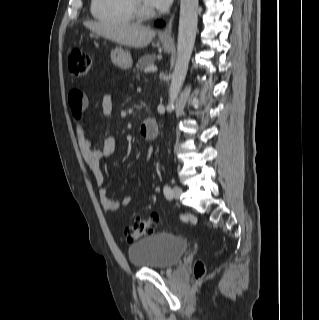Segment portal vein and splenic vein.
Here are the masks:
<instances>
[{
  "label": "portal vein and splenic vein",
  "instance_id": "obj_1",
  "mask_svg": "<svg viewBox=\"0 0 319 320\" xmlns=\"http://www.w3.org/2000/svg\"><path fill=\"white\" fill-rule=\"evenodd\" d=\"M155 71H157V67H156V66H154V65L149 66V67H146V68L144 69V72H145V73H148V72H155Z\"/></svg>",
  "mask_w": 319,
  "mask_h": 320
}]
</instances>
